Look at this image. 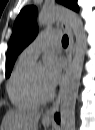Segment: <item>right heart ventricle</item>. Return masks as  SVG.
I'll return each mask as SVG.
<instances>
[{
    "label": "right heart ventricle",
    "mask_w": 95,
    "mask_h": 130,
    "mask_svg": "<svg viewBox=\"0 0 95 130\" xmlns=\"http://www.w3.org/2000/svg\"><path fill=\"white\" fill-rule=\"evenodd\" d=\"M31 62L19 58L7 84V91L12 104L18 109H36L40 102L35 98L28 69Z\"/></svg>",
    "instance_id": "1"
}]
</instances>
